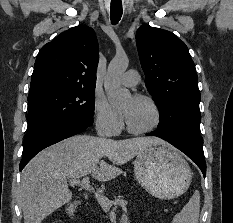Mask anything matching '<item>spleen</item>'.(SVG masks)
I'll return each instance as SVG.
<instances>
[{"mask_svg":"<svg viewBox=\"0 0 233 223\" xmlns=\"http://www.w3.org/2000/svg\"><path fill=\"white\" fill-rule=\"evenodd\" d=\"M200 211V193L194 191L185 207L176 215L175 223H198Z\"/></svg>","mask_w":233,"mask_h":223,"instance_id":"1","label":"spleen"}]
</instances>
